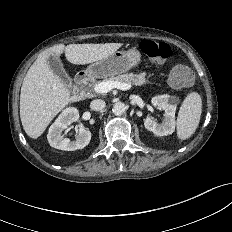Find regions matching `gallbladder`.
Returning <instances> with one entry per match:
<instances>
[{
    "mask_svg": "<svg viewBox=\"0 0 232 232\" xmlns=\"http://www.w3.org/2000/svg\"><path fill=\"white\" fill-rule=\"evenodd\" d=\"M47 63L53 73L59 78V80L66 86H72V81L69 75L66 73L64 66L58 56L52 54L48 57Z\"/></svg>",
    "mask_w": 232,
    "mask_h": 232,
    "instance_id": "obj_1",
    "label": "gallbladder"
}]
</instances>
